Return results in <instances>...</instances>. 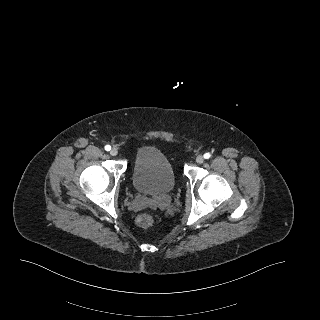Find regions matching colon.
I'll use <instances>...</instances> for the list:
<instances>
[{
  "mask_svg": "<svg viewBox=\"0 0 320 320\" xmlns=\"http://www.w3.org/2000/svg\"><path fill=\"white\" fill-rule=\"evenodd\" d=\"M136 223L140 227L147 228L153 225L154 219L149 214H141L136 218Z\"/></svg>",
  "mask_w": 320,
  "mask_h": 320,
  "instance_id": "1",
  "label": "colon"
}]
</instances>
